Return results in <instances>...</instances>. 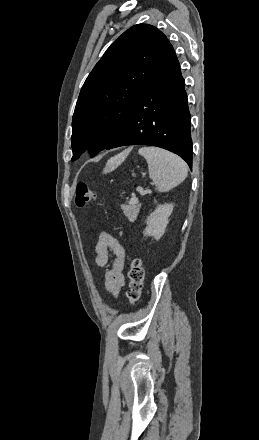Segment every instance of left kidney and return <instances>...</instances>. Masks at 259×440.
Masks as SVG:
<instances>
[{
    "label": "left kidney",
    "mask_w": 259,
    "mask_h": 440,
    "mask_svg": "<svg viewBox=\"0 0 259 440\" xmlns=\"http://www.w3.org/2000/svg\"><path fill=\"white\" fill-rule=\"evenodd\" d=\"M173 207V203H165L157 206L147 219V226L144 230V235L159 240L165 233Z\"/></svg>",
    "instance_id": "1"
}]
</instances>
